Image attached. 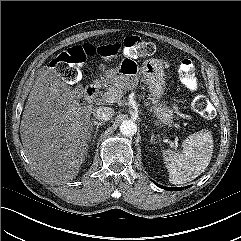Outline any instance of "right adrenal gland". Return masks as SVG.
<instances>
[{
    "instance_id": "1",
    "label": "right adrenal gland",
    "mask_w": 241,
    "mask_h": 241,
    "mask_svg": "<svg viewBox=\"0 0 241 241\" xmlns=\"http://www.w3.org/2000/svg\"><path fill=\"white\" fill-rule=\"evenodd\" d=\"M103 124H104L103 122H98V121L93 120V119H92V121H90V124H89V134H90V136L94 132V126H96L92 142H94V140L97 136V132L99 131L100 126H102Z\"/></svg>"
}]
</instances>
